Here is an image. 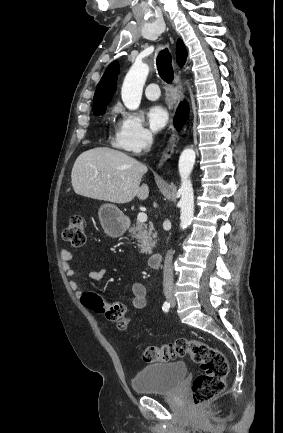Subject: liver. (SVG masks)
Returning a JSON list of instances; mask_svg holds the SVG:
<instances>
[{
	"label": "liver",
	"instance_id": "1",
	"mask_svg": "<svg viewBox=\"0 0 283 433\" xmlns=\"http://www.w3.org/2000/svg\"><path fill=\"white\" fill-rule=\"evenodd\" d=\"M147 170L146 164L121 150L97 146L77 156L71 172V182L76 194L123 204L133 200L134 196L140 200L149 196L148 184L140 186L141 178Z\"/></svg>",
	"mask_w": 283,
	"mask_h": 433
}]
</instances>
